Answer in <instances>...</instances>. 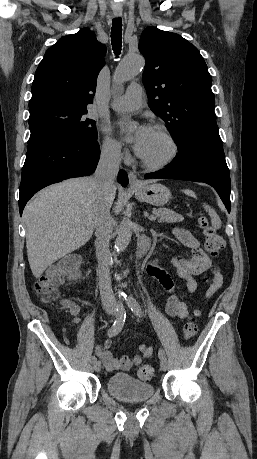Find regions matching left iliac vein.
Masks as SVG:
<instances>
[{"label": "left iliac vein", "mask_w": 257, "mask_h": 459, "mask_svg": "<svg viewBox=\"0 0 257 459\" xmlns=\"http://www.w3.org/2000/svg\"><path fill=\"white\" fill-rule=\"evenodd\" d=\"M160 367L163 371H165L167 369V360L166 358H162L160 359Z\"/></svg>", "instance_id": "left-iliac-vein-1"}]
</instances>
